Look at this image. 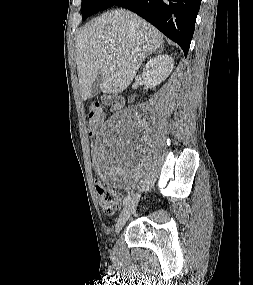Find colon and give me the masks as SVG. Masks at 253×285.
I'll use <instances>...</instances> for the list:
<instances>
[{"mask_svg": "<svg viewBox=\"0 0 253 285\" xmlns=\"http://www.w3.org/2000/svg\"><path fill=\"white\" fill-rule=\"evenodd\" d=\"M102 112L98 104L92 105L89 116H88V128L90 137V147L89 155L92 158L89 160V167L92 168L93 172L97 171V158L96 157V148L98 145V136H96L97 129L102 122ZM95 189L98 195L99 204L103 212L107 214H113L120 204V195L117 191L106 187L99 181L95 182Z\"/></svg>", "mask_w": 253, "mask_h": 285, "instance_id": "obj_1", "label": "colon"}]
</instances>
